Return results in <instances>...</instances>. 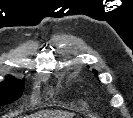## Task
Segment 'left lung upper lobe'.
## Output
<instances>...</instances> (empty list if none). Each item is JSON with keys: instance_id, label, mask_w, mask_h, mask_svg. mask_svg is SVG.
<instances>
[{"instance_id": "1", "label": "left lung upper lobe", "mask_w": 133, "mask_h": 118, "mask_svg": "<svg viewBox=\"0 0 133 118\" xmlns=\"http://www.w3.org/2000/svg\"><path fill=\"white\" fill-rule=\"evenodd\" d=\"M93 72H94V74L97 76V73H96V71H95V70H93Z\"/></svg>"}]
</instances>
